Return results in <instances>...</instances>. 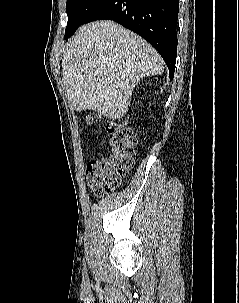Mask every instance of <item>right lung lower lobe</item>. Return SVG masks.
Returning <instances> with one entry per match:
<instances>
[{"instance_id": "obj_1", "label": "right lung lower lobe", "mask_w": 239, "mask_h": 303, "mask_svg": "<svg viewBox=\"0 0 239 303\" xmlns=\"http://www.w3.org/2000/svg\"><path fill=\"white\" fill-rule=\"evenodd\" d=\"M179 0H106L83 24L113 20L146 39L166 62L170 80L177 56Z\"/></svg>"}]
</instances>
